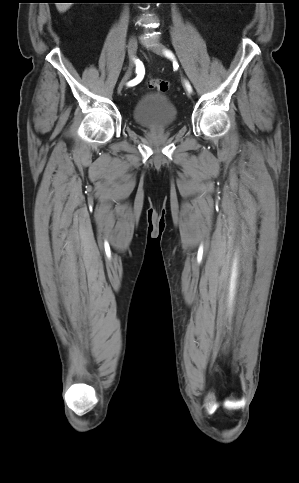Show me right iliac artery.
I'll return each instance as SVG.
<instances>
[{
    "label": "right iliac artery",
    "mask_w": 299,
    "mask_h": 483,
    "mask_svg": "<svg viewBox=\"0 0 299 483\" xmlns=\"http://www.w3.org/2000/svg\"><path fill=\"white\" fill-rule=\"evenodd\" d=\"M135 62H136V72L138 73V76L135 79L128 82L129 86H134V85L138 84L143 78L144 66L141 62H139L138 59Z\"/></svg>",
    "instance_id": "right-iliac-artery-1"
}]
</instances>
